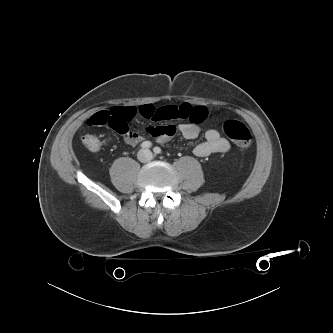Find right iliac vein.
<instances>
[{
	"mask_svg": "<svg viewBox=\"0 0 333 333\" xmlns=\"http://www.w3.org/2000/svg\"><path fill=\"white\" fill-rule=\"evenodd\" d=\"M139 157H140V158L143 157V152H140V153H139Z\"/></svg>",
	"mask_w": 333,
	"mask_h": 333,
	"instance_id": "1",
	"label": "right iliac vein"
}]
</instances>
